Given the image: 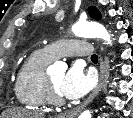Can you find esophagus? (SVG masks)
<instances>
[{"mask_svg": "<svg viewBox=\"0 0 133 118\" xmlns=\"http://www.w3.org/2000/svg\"><path fill=\"white\" fill-rule=\"evenodd\" d=\"M99 81L97 86L94 88V90L91 92V94L77 107L66 111L65 113H62L60 118H75L100 92L103 81H104V75H105V63L103 61V58L100 57L99 59Z\"/></svg>", "mask_w": 133, "mask_h": 118, "instance_id": "esophagus-1", "label": "esophagus"}]
</instances>
